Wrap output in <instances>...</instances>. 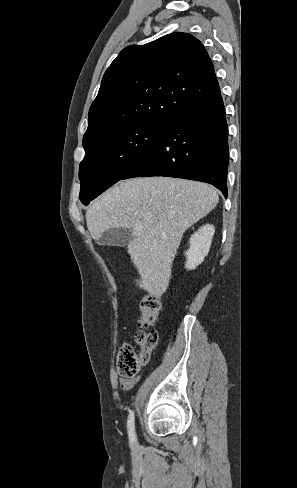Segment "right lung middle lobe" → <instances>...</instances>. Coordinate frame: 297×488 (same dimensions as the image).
I'll return each instance as SVG.
<instances>
[{"mask_svg": "<svg viewBox=\"0 0 297 488\" xmlns=\"http://www.w3.org/2000/svg\"><path fill=\"white\" fill-rule=\"evenodd\" d=\"M170 122L146 121L109 133L85 149L79 167L80 201L88 205L122 177L154 145Z\"/></svg>", "mask_w": 297, "mask_h": 488, "instance_id": "obj_1", "label": "right lung middle lobe"}]
</instances>
